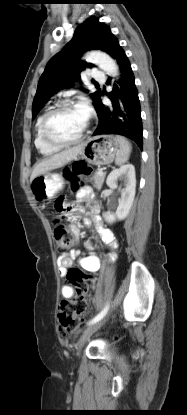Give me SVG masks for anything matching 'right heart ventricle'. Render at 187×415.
Segmentation results:
<instances>
[{
  "instance_id": "e07e8e85",
  "label": "right heart ventricle",
  "mask_w": 187,
  "mask_h": 415,
  "mask_svg": "<svg viewBox=\"0 0 187 415\" xmlns=\"http://www.w3.org/2000/svg\"><path fill=\"white\" fill-rule=\"evenodd\" d=\"M47 111H44L37 119L36 121V125H35V139H34V143L35 146L37 148V150L45 155V156H50L53 155L55 153H57L61 148L60 147H55L52 145H49L48 143H46L41 135V124H42V120L45 116Z\"/></svg>"
}]
</instances>
